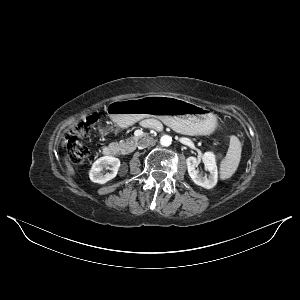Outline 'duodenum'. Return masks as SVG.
I'll use <instances>...</instances> for the list:
<instances>
[{
    "instance_id": "410a0bca",
    "label": "duodenum",
    "mask_w": 300,
    "mask_h": 300,
    "mask_svg": "<svg viewBox=\"0 0 300 300\" xmlns=\"http://www.w3.org/2000/svg\"><path fill=\"white\" fill-rule=\"evenodd\" d=\"M117 149L113 145H107L103 148L102 153L106 157H114L116 155Z\"/></svg>"
}]
</instances>
